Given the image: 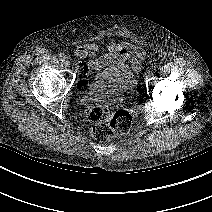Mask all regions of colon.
<instances>
[{"label":"colon","instance_id":"1","mask_svg":"<svg viewBox=\"0 0 212 212\" xmlns=\"http://www.w3.org/2000/svg\"><path fill=\"white\" fill-rule=\"evenodd\" d=\"M82 68H84L82 66ZM85 82H80L79 87H84ZM91 122L90 134L99 141H105L112 137L126 133L131 127V115L121 109L103 108L100 106L89 107L86 110Z\"/></svg>","mask_w":212,"mask_h":212}]
</instances>
